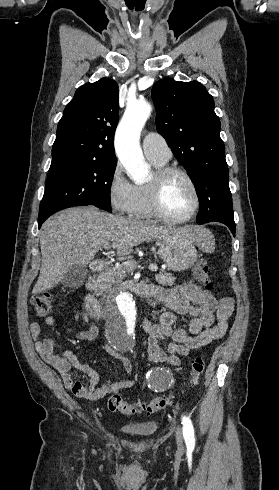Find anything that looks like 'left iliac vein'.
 Segmentation results:
<instances>
[{
    "label": "left iliac vein",
    "instance_id": "obj_1",
    "mask_svg": "<svg viewBox=\"0 0 279 490\" xmlns=\"http://www.w3.org/2000/svg\"><path fill=\"white\" fill-rule=\"evenodd\" d=\"M176 442H177V447H178V451L179 452H183L184 450V447H183V433H182V430L181 428H177L176 429Z\"/></svg>",
    "mask_w": 279,
    "mask_h": 490
}]
</instances>
